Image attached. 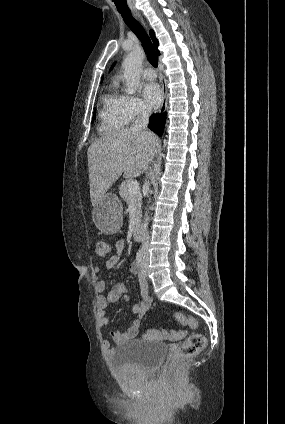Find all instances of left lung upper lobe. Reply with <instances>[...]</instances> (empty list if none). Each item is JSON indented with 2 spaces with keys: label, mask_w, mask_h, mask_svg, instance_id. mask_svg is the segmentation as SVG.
Returning <instances> with one entry per match:
<instances>
[{
  "label": "left lung upper lobe",
  "mask_w": 285,
  "mask_h": 424,
  "mask_svg": "<svg viewBox=\"0 0 285 424\" xmlns=\"http://www.w3.org/2000/svg\"><path fill=\"white\" fill-rule=\"evenodd\" d=\"M115 64V63H114ZM114 64L111 66L110 70L113 68Z\"/></svg>",
  "instance_id": "5c2ea615"
}]
</instances>
